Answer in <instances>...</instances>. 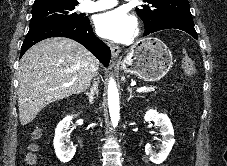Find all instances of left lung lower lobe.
<instances>
[{
  "instance_id": "0a47b994",
  "label": "left lung lower lobe",
  "mask_w": 227,
  "mask_h": 166,
  "mask_svg": "<svg viewBox=\"0 0 227 166\" xmlns=\"http://www.w3.org/2000/svg\"><path fill=\"white\" fill-rule=\"evenodd\" d=\"M164 29H179L190 34L191 36H193V38L198 39L197 33L194 29L193 19L190 16H181L173 20L167 21L166 23L151 31H145L144 36Z\"/></svg>"
}]
</instances>
